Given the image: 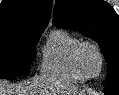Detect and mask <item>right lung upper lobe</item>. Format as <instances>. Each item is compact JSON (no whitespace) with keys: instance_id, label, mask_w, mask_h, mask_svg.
<instances>
[{"instance_id":"cb5924a9","label":"right lung upper lobe","mask_w":119,"mask_h":95,"mask_svg":"<svg viewBox=\"0 0 119 95\" xmlns=\"http://www.w3.org/2000/svg\"><path fill=\"white\" fill-rule=\"evenodd\" d=\"M52 0H3L0 4V34L16 29L44 30Z\"/></svg>"}]
</instances>
